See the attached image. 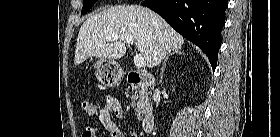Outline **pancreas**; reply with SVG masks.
I'll return each mask as SVG.
<instances>
[{"label": "pancreas", "instance_id": "1", "mask_svg": "<svg viewBox=\"0 0 280 137\" xmlns=\"http://www.w3.org/2000/svg\"><path fill=\"white\" fill-rule=\"evenodd\" d=\"M132 90H135L131 97L132 105L135 107L138 119H142L144 114L152 111L149 93L141 85H132Z\"/></svg>", "mask_w": 280, "mask_h": 137}]
</instances>
